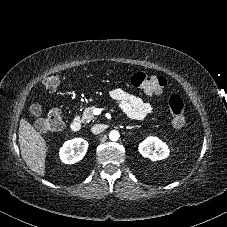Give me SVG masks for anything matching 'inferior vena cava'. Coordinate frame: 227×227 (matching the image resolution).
<instances>
[{
    "label": "inferior vena cava",
    "mask_w": 227,
    "mask_h": 227,
    "mask_svg": "<svg viewBox=\"0 0 227 227\" xmlns=\"http://www.w3.org/2000/svg\"><path fill=\"white\" fill-rule=\"evenodd\" d=\"M105 128L106 127L104 124H96L91 128V131L93 134H100L101 132L104 131Z\"/></svg>",
    "instance_id": "602c4592"
}]
</instances>
